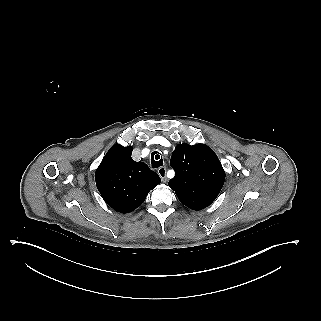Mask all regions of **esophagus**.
Listing matches in <instances>:
<instances>
[{"label": "esophagus", "instance_id": "obj_1", "mask_svg": "<svg viewBox=\"0 0 321 321\" xmlns=\"http://www.w3.org/2000/svg\"><path fill=\"white\" fill-rule=\"evenodd\" d=\"M166 168L165 167H160L159 169H158V174H159V176H160V178L162 179V181L164 182V183H166L167 181H168V179H167V177H166Z\"/></svg>", "mask_w": 321, "mask_h": 321}]
</instances>
